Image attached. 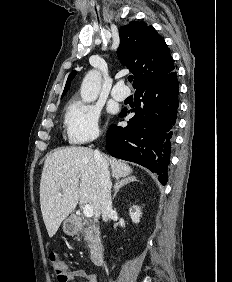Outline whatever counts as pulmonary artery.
I'll return each mask as SVG.
<instances>
[{"mask_svg":"<svg viewBox=\"0 0 232 282\" xmlns=\"http://www.w3.org/2000/svg\"><path fill=\"white\" fill-rule=\"evenodd\" d=\"M111 95L115 100L123 101L129 96V89L123 82H119L113 87Z\"/></svg>","mask_w":232,"mask_h":282,"instance_id":"pulmonary-artery-1","label":"pulmonary artery"}]
</instances>
